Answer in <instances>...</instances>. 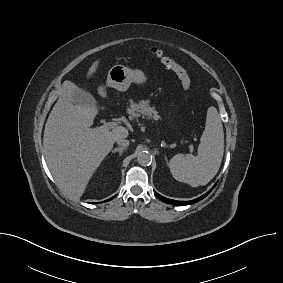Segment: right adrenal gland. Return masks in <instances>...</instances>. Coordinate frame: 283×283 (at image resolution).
<instances>
[{
  "mask_svg": "<svg viewBox=\"0 0 283 283\" xmlns=\"http://www.w3.org/2000/svg\"><path fill=\"white\" fill-rule=\"evenodd\" d=\"M126 149V147H117V148H114L112 150V153H116V152H119V155L122 156V153L123 151Z\"/></svg>",
  "mask_w": 283,
  "mask_h": 283,
  "instance_id": "2a0ac1e0",
  "label": "right adrenal gland"
}]
</instances>
